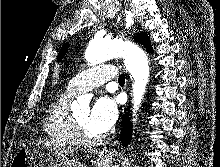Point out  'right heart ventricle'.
<instances>
[{
    "instance_id": "right-heart-ventricle-1",
    "label": "right heart ventricle",
    "mask_w": 220,
    "mask_h": 167,
    "mask_svg": "<svg viewBox=\"0 0 220 167\" xmlns=\"http://www.w3.org/2000/svg\"><path fill=\"white\" fill-rule=\"evenodd\" d=\"M74 93L68 89L55 95L48 104L44 132L54 143L62 146H73V136L69 101Z\"/></svg>"
}]
</instances>
